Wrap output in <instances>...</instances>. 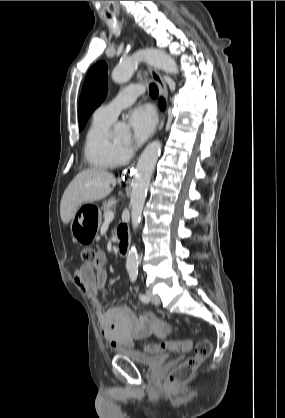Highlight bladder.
Here are the masks:
<instances>
[{"instance_id": "bladder-1", "label": "bladder", "mask_w": 285, "mask_h": 418, "mask_svg": "<svg viewBox=\"0 0 285 418\" xmlns=\"http://www.w3.org/2000/svg\"><path fill=\"white\" fill-rule=\"evenodd\" d=\"M119 356H126L138 365L145 367H155L164 363L169 355L166 353H140L127 347H119L116 349Z\"/></svg>"}]
</instances>
